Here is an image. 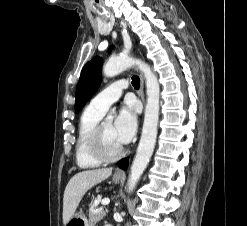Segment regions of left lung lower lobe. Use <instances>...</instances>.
Listing matches in <instances>:
<instances>
[{
    "instance_id": "left-lung-lower-lobe-1",
    "label": "left lung lower lobe",
    "mask_w": 247,
    "mask_h": 226,
    "mask_svg": "<svg viewBox=\"0 0 247 226\" xmlns=\"http://www.w3.org/2000/svg\"><path fill=\"white\" fill-rule=\"evenodd\" d=\"M120 162H121V163H120V168L126 169V168H127V165H128L127 159L124 158V159H122Z\"/></svg>"
}]
</instances>
